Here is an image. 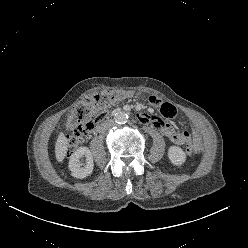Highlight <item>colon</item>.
Here are the masks:
<instances>
[{
  "label": "colon",
  "instance_id": "obj_1",
  "mask_svg": "<svg viewBox=\"0 0 248 248\" xmlns=\"http://www.w3.org/2000/svg\"><path fill=\"white\" fill-rule=\"evenodd\" d=\"M126 96L127 93L124 91L103 92L78 103L72 109L67 119V126L71 130V133L66 137L68 155L73 154L82 144L84 138L92 133L93 120L98 115L108 111L114 102ZM186 151L189 155H194L198 152V146L189 142Z\"/></svg>",
  "mask_w": 248,
  "mask_h": 248
}]
</instances>
